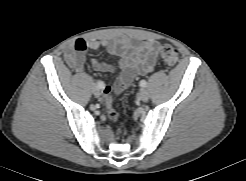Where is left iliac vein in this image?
<instances>
[{"instance_id":"obj_1","label":"left iliac vein","mask_w":246,"mask_h":181,"mask_svg":"<svg viewBox=\"0 0 246 181\" xmlns=\"http://www.w3.org/2000/svg\"><path fill=\"white\" fill-rule=\"evenodd\" d=\"M139 99L143 102H146L148 101L149 99V93L146 89H142L140 92H139Z\"/></svg>"}]
</instances>
